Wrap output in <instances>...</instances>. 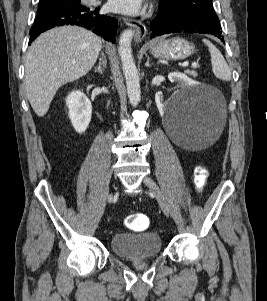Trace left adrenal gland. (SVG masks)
<instances>
[{
	"label": "left adrenal gland",
	"instance_id": "obj_1",
	"mask_svg": "<svg viewBox=\"0 0 267 301\" xmlns=\"http://www.w3.org/2000/svg\"><path fill=\"white\" fill-rule=\"evenodd\" d=\"M150 58L147 57V61L145 63V67H150L152 64L149 63Z\"/></svg>",
	"mask_w": 267,
	"mask_h": 301
}]
</instances>
